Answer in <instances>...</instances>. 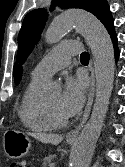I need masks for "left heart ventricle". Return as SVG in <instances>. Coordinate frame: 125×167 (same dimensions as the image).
I'll list each match as a JSON object with an SVG mask.
<instances>
[{
	"label": "left heart ventricle",
	"instance_id": "1",
	"mask_svg": "<svg viewBox=\"0 0 125 167\" xmlns=\"http://www.w3.org/2000/svg\"><path fill=\"white\" fill-rule=\"evenodd\" d=\"M60 94L54 93L46 97L47 102L49 103L52 110L59 116H66L60 106Z\"/></svg>",
	"mask_w": 125,
	"mask_h": 167
}]
</instances>
